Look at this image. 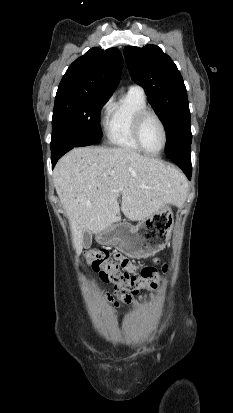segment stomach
<instances>
[{"mask_svg":"<svg viewBox=\"0 0 233 413\" xmlns=\"http://www.w3.org/2000/svg\"><path fill=\"white\" fill-rule=\"evenodd\" d=\"M173 225V212L166 205L136 226L128 223L108 226L96 234V241L102 245H114L132 258L148 257L165 247Z\"/></svg>","mask_w":233,"mask_h":413,"instance_id":"obj_1","label":"stomach"}]
</instances>
